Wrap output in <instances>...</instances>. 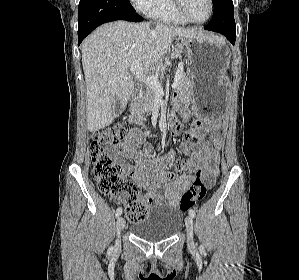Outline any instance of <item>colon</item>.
Listing matches in <instances>:
<instances>
[{"instance_id":"5ec220e1","label":"colon","mask_w":299,"mask_h":280,"mask_svg":"<svg viewBox=\"0 0 299 280\" xmlns=\"http://www.w3.org/2000/svg\"><path fill=\"white\" fill-rule=\"evenodd\" d=\"M201 123L195 121L188 125L184 136L190 144H194L197 133H201ZM130 138L129 130L124 126L107 127L94 132L91 142L93 177L99 190L125 209V216L131 223L142 220L147 212L148 205L142 195L138 184L125 175L124 165L114 160L107 148L117 146ZM190 167L189 160H179L176 168L180 171ZM212 184L203 179L202 171H197V177L190 189L182 198L180 209L183 212L193 208L198 201L202 200Z\"/></svg>"}]
</instances>
